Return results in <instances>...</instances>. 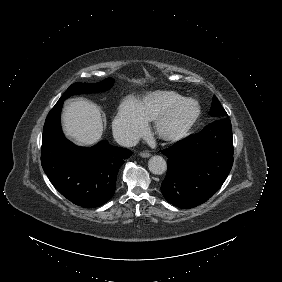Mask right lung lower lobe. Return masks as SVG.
I'll return each mask as SVG.
<instances>
[{"mask_svg": "<svg viewBox=\"0 0 282 282\" xmlns=\"http://www.w3.org/2000/svg\"><path fill=\"white\" fill-rule=\"evenodd\" d=\"M58 101L49 112L41 149L43 169L53 186L69 201L95 208L112 198L119 168L132 152L101 141L91 148L68 141L61 130Z\"/></svg>", "mask_w": 282, "mask_h": 282, "instance_id": "obj_1", "label": "right lung lower lobe"}]
</instances>
